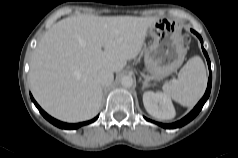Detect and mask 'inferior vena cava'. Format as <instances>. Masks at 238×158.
Masks as SVG:
<instances>
[{"label":"inferior vena cava","instance_id":"602c4592","mask_svg":"<svg viewBox=\"0 0 238 158\" xmlns=\"http://www.w3.org/2000/svg\"><path fill=\"white\" fill-rule=\"evenodd\" d=\"M97 80L101 86H108L114 80L113 72L107 69H102L97 74Z\"/></svg>","mask_w":238,"mask_h":158}]
</instances>
